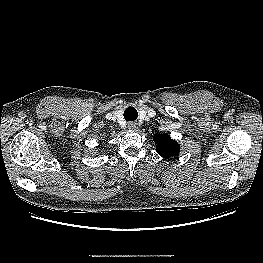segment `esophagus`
Segmentation results:
<instances>
[{
  "label": "esophagus",
  "instance_id": "34e87169",
  "mask_svg": "<svg viewBox=\"0 0 263 263\" xmlns=\"http://www.w3.org/2000/svg\"><path fill=\"white\" fill-rule=\"evenodd\" d=\"M128 127L132 130H136L138 128V124L136 122H129Z\"/></svg>",
  "mask_w": 263,
  "mask_h": 263
}]
</instances>
